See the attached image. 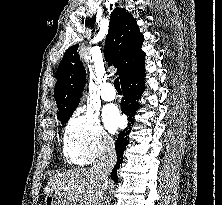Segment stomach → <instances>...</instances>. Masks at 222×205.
I'll list each match as a JSON object with an SVG mask.
<instances>
[{"label": "stomach", "instance_id": "1", "mask_svg": "<svg viewBox=\"0 0 222 205\" xmlns=\"http://www.w3.org/2000/svg\"><path fill=\"white\" fill-rule=\"evenodd\" d=\"M44 205H66V202L53 194H47L44 200Z\"/></svg>", "mask_w": 222, "mask_h": 205}]
</instances>
